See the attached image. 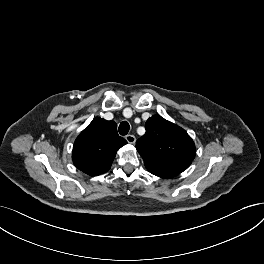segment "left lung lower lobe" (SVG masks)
Here are the masks:
<instances>
[{
    "label": "left lung lower lobe",
    "instance_id": "left-lung-lower-lobe-1",
    "mask_svg": "<svg viewBox=\"0 0 264 264\" xmlns=\"http://www.w3.org/2000/svg\"><path fill=\"white\" fill-rule=\"evenodd\" d=\"M146 168L150 173H152L153 175H156L158 177H161V178H171V177H174L180 173L178 171L160 169V168L149 167V166H146Z\"/></svg>",
    "mask_w": 264,
    "mask_h": 264
}]
</instances>
